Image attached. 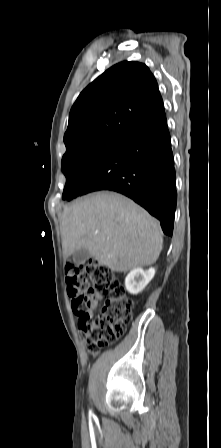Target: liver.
Here are the masks:
<instances>
[{
    "mask_svg": "<svg viewBox=\"0 0 221 448\" xmlns=\"http://www.w3.org/2000/svg\"><path fill=\"white\" fill-rule=\"evenodd\" d=\"M61 235L65 257L84 248L99 264L116 272L153 264L163 244L155 218L127 197L107 191L65 207Z\"/></svg>",
    "mask_w": 221,
    "mask_h": 448,
    "instance_id": "1",
    "label": "liver"
}]
</instances>
